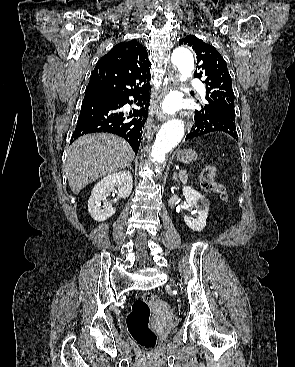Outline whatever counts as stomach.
Returning a JSON list of instances; mask_svg holds the SVG:
<instances>
[{"instance_id": "0dacf381", "label": "stomach", "mask_w": 295, "mask_h": 367, "mask_svg": "<svg viewBox=\"0 0 295 367\" xmlns=\"http://www.w3.org/2000/svg\"><path fill=\"white\" fill-rule=\"evenodd\" d=\"M197 158H198L197 153L192 149L180 150L177 153V161L182 162L184 164L194 162L195 160H197Z\"/></svg>"}]
</instances>
